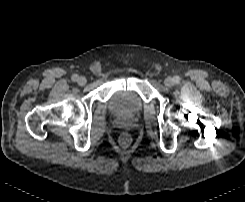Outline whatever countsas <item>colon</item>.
Listing matches in <instances>:
<instances>
[{
  "instance_id": "obj_1",
  "label": "colon",
  "mask_w": 245,
  "mask_h": 202,
  "mask_svg": "<svg viewBox=\"0 0 245 202\" xmlns=\"http://www.w3.org/2000/svg\"><path fill=\"white\" fill-rule=\"evenodd\" d=\"M132 142V138L128 134H123L120 138V143L123 146H128Z\"/></svg>"
}]
</instances>
